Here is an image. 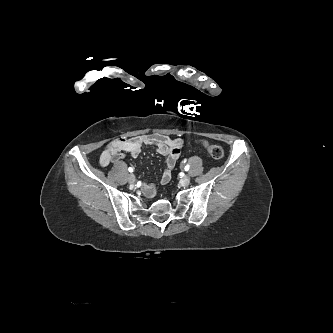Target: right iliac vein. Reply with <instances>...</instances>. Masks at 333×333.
Segmentation results:
<instances>
[{
    "label": "right iliac vein",
    "instance_id": "1",
    "mask_svg": "<svg viewBox=\"0 0 333 333\" xmlns=\"http://www.w3.org/2000/svg\"><path fill=\"white\" fill-rule=\"evenodd\" d=\"M128 181H129L130 184H134L136 182L135 176L133 174H130L128 176Z\"/></svg>",
    "mask_w": 333,
    "mask_h": 333
}]
</instances>
